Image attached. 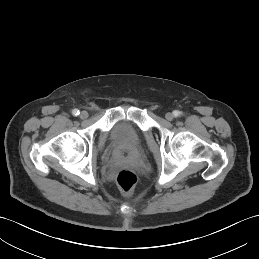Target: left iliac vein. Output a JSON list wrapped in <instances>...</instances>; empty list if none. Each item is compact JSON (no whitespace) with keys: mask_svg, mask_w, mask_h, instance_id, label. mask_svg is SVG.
<instances>
[{"mask_svg":"<svg viewBox=\"0 0 259 259\" xmlns=\"http://www.w3.org/2000/svg\"><path fill=\"white\" fill-rule=\"evenodd\" d=\"M165 118H166L168 121H172L173 118H174V115H173L171 112H168V113H166Z\"/></svg>","mask_w":259,"mask_h":259,"instance_id":"left-iliac-vein-1","label":"left iliac vein"}]
</instances>
